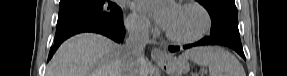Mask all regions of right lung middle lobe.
Segmentation results:
<instances>
[{
  "mask_svg": "<svg viewBox=\"0 0 287 76\" xmlns=\"http://www.w3.org/2000/svg\"><path fill=\"white\" fill-rule=\"evenodd\" d=\"M56 35L87 25H109L122 19V10L109 0H61Z\"/></svg>",
  "mask_w": 287,
  "mask_h": 76,
  "instance_id": "1",
  "label": "right lung middle lobe"
}]
</instances>
